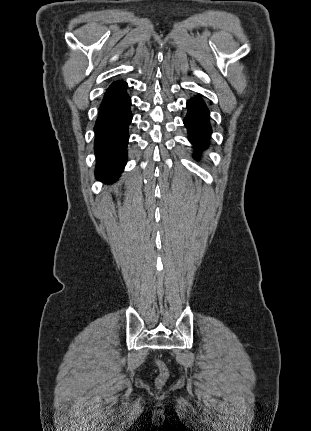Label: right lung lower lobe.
Wrapping results in <instances>:
<instances>
[{
	"label": "right lung lower lobe",
	"mask_w": 311,
	"mask_h": 431,
	"mask_svg": "<svg viewBox=\"0 0 311 431\" xmlns=\"http://www.w3.org/2000/svg\"><path fill=\"white\" fill-rule=\"evenodd\" d=\"M127 83L115 81L107 89L100 106L95 129L97 156L96 177L112 182L126 164L128 125L132 120L131 100L126 93Z\"/></svg>",
	"instance_id": "1"
}]
</instances>
